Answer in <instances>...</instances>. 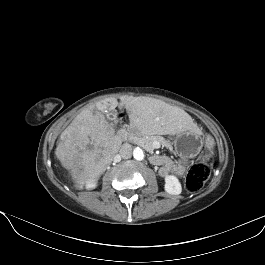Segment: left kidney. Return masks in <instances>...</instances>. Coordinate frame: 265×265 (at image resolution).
<instances>
[{
	"label": "left kidney",
	"instance_id": "1",
	"mask_svg": "<svg viewBox=\"0 0 265 265\" xmlns=\"http://www.w3.org/2000/svg\"><path fill=\"white\" fill-rule=\"evenodd\" d=\"M165 191L171 195H179L182 191L181 184L177 177L167 175L165 177Z\"/></svg>",
	"mask_w": 265,
	"mask_h": 265
}]
</instances>
